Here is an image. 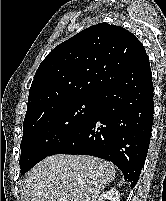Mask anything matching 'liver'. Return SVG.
I'll list each match as a JSON object with an SVG mask.
<instances>
[{
    "instance_id": "6515ba94",
    "label": "liver",
    "mask_w": 166,
    "mask_h": 201,
    "mask_svg": "<svg viewBox=\"0 0 166 201\" xmlns=\"http://www.w3.org/2000/svg\"><path fill=\"white\" fill-rule=\"evenodd\" d=\"M112 163L93 156H48L23 179L25 201H95L114 180Z\"/></svg>"
}]
</instances>
